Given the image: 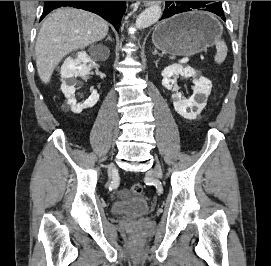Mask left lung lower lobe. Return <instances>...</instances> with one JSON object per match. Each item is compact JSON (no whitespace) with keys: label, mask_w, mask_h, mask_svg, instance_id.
I'll return each mask as SVG.
<instances>
[{"label":"left lung lower lobe","mask_w":271,"mask_h":266,"mask_svg":"<svg viewBox=\"0 0 271 266\" xmlns=\"http://www.w3.org/2000/svg\"><path fill=\"white\" fill-rule=\"evenodd\" d=\"M199 9L212 12L225 21V15L220 1H166L162 18H169L175 14Z\"/></svg>","instance_id":"0a47b994"}]
</instances>
